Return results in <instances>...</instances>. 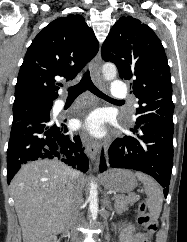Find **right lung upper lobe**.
I'll use <instances>...</instances> for the list:
<instances>
[{
  "instance_id": "obj_1",
  "label": "right lung upper lobe",
  "mask_w": 187,
  "mask_h": 242,
  "mask_svg": "<svg viewBox=\"0 0 187 242\" xmlns=\"http://www.w3.org/2000/svg\"><path fill=\"white\" fill-rule=\"evenodd\" d=\"M98 41L80 15L61 17L47 25L29 46L15 86L14 107L53 104L62 84L72 80L97 54Z\"/></svg>"
}]
</instances>
